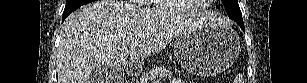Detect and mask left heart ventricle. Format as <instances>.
I'll return each mask as SVG.
<instances>
[{
    "mask_svg": "<svg viewBox=\"0 0 307 83\" xmlns=\"http://www.w3.org/2000/svg\"><path fill=\"white\" fill-rule=\"evenodd\" d=\"M200 0H179L177 1L178 6L182 10H189L198 5Z\"/></svg>",
    "mask_w": 307,
    "mask_h": 83,
    "instance_id": "b2bd125f",
    "label": "left heart ventricle"
}]
</instances>
